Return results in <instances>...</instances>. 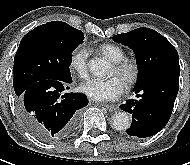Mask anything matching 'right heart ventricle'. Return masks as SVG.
I'll list each match as a JSON object with an SVG mask.
<instances>
[{
	"instance_id": "1",
	"label": "right heart ventricle",
	"mask_w": 190,
	"mask_h": 165,
	"mask_svg": "<svg viewBox=\"0 0 190 165\" xmlns=\"http://www.w3.org/2000/svg\"><path fill=\"white\" fill-rule=\"evenodd\" d=\"M99 52L111 60L113 63L126 59L125 51L114 44H103L99 47Z\"/></svg>"
}]
</instances>
